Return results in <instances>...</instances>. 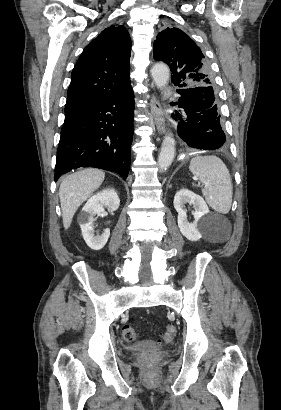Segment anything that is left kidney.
I'll return each mask as SVG.
<instances>
[{
    "label": "left kidney",
    "instance_id": "left-kidney-1",
    "mask_svg": "<svg viewBox=\"0 0 281 410\" xmlns=\"http://www.w3.org/2000/svg\"><path fill=\"white\" fill-rule=\"evenodd\" d=\"M192 204L194 222L190 223L184 209L185 204ZM174 208L178 213V227L184 237L190 241H198L202 238V233L210 224L209 208L204 199L188 189L179 190L174 196Z\"/></svg>",
    "mask_w": 281,
    "mask_h": 410
}]
</instances>
